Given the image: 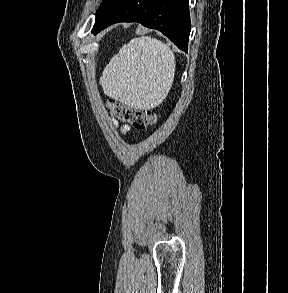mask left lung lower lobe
Instances as JSON below:
<instances>
[{
    "instance_id": "1",
    "label": "left lung lower lobe",
    "mask_w": 288,
    "mask_h": 293,
    "mask_svg": "<svg viewBox=\"0 0 288 293\" xmlns=\"http://www.w3.org/2000/svg\"><path fill=\"white\" fill-rule=\"evenodd\" d=\"M118 22H139L157 29L187 52L191 30L188 0H120L95 23L92 33L97 34Z\"/></svg>"
}]
</instances>
